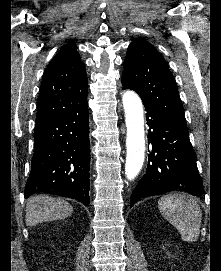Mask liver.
Instances as JSON below:
<instances>
[{"instance_id": "obj_1", "label": "liver", "mask_w": 221, "mask_h": 271, "mask_svg": "<svg viewBox=\"0 0 221 271\" xmlns=\"http://www.w3.org/2000/svg\"><path fill=\"white\" fill-rule=\"evenodd\" d=\"M73 211L72 205L51 195H33L29 197L26 203V223L27 225H36L42 221H53V219H63L68 217Z\"/></svg>"}]
</instances>
